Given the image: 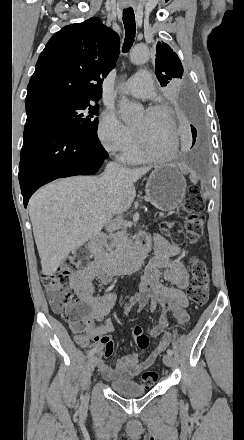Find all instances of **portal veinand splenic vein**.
Wrapping results in <instances>:
<instances>
[{"label": "portal vein and splenic vein", "instance_id": "18ae733b", "mask_svg": "<svg viewBox=\"0 0 244 440\" xmlns=\"http://www.w3.org/2000/svg\"><path fill=\"white\" fill-rule=\"evenodd\" d=\"M73 224H74V226H80L81 220H79V218H75Z\"/></svg>", "mask_w": 244, "mask_h": 440}]
</instances>
